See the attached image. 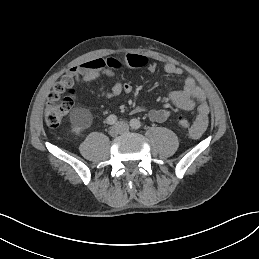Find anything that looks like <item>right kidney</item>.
Returning <instances> with one entry per match:
<instances>
[{
	"label": "right kidney",
	"mask_w": 259,
	"mask_h": 259,
	"mask_svg": "<svg viewBox=\"0 0 259 259\" xmlns=\"http://www.w3.org/2000/svg\"><path fill=\"white\" fill-rule=\"evenodd\" d=\"M70 119L72 123V131L76 134L80 133L81 129L90 127L92 123V116L87 109L76 108L70 114Z\"/></svg>",
	"instance_id": "right-kidney-1"
}]
</instances>
